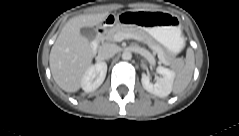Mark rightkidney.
<instances>
[{"label": "right kidney", "instance_id": "ca27d5eb", "mask_svg": "<svg viewBox=\"0 0 239 136\" xmlns=\"http://www.w3.org/2000/svg\"><path fill=\"white\" fill-rule=\"evenodd\" d=\"M107 73V64L97 62L88 67L81 80V87L85 92H93L101 86Z\"/></svg>", "mask_w": 239, "mask_h": 136}]
</instances>
